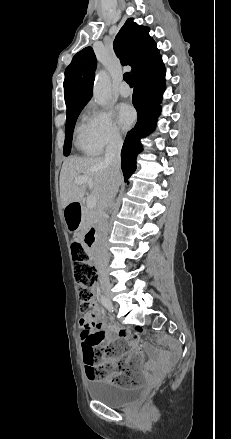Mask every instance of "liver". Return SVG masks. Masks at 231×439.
<instances>
[{"mask_svg": "<svg viewBox=\"0 0 231 439\" xmlns=\"http://www.w3.org/2000/svg\"><path fill=\"white\" fill-rule=\"evenodd\" d=\"M85 176L91 179L88 183L75 184V179ZM122 178L120 179L121 183ZM111 183L110 169L101 157H74L63 163L60 173V199L63 207L74 202H80L87 187L95 196L100 207H104L105 197Z\"/></svg>", "mask_w": 231, "mask_h": 439, "instance_id": "liver-1", "label": "liver"}]
</instances>
